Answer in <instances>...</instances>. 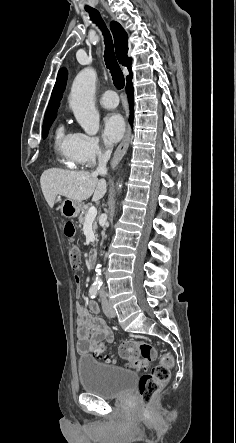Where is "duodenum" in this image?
Instances as JSON below:
<instances>
[{"instance_id": "1", "label": "duodenum", "mask_w": 236, "mask_h": 443, "mask_svg": "<svg viewBox=\"0 0 236 443\" xmlns=\"http://www.w3.org/2000/svg\"><path fill=\"white\" fill-rule=\"evenodd\" d=\"M88 262L91 266H93L96 262V255L94 253H90L88 256Z\"/></svg>"}]
</instances>
